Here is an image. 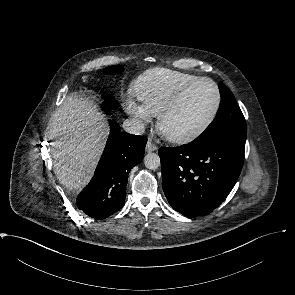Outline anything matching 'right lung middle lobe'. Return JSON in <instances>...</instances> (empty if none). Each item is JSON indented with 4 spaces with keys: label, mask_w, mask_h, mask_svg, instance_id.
I'll return each mask as SVG.
<instances>
[{
    "label": "right lung middle lobe",
    "mask_w": 295,
    "mask_h": 295,
    "mask_svg": "<svg viewBox=\"0 0 295 295\" xmlns=\"http://www.w3.org/2000/svg\"><path fill=\"white\" fill-rule=\"evenodd\" d=\"M104 71L108 74H116V73H120L121 71H123V67L110 66V67L105 68ZM104 101H105L104 106L106 107L104 110L106 112L110 111L111 108L117 107V102L115 101L114 97L111 95H105Z\"/></svg>",
    "instance_id": "obj_1"
}]
</instances>
